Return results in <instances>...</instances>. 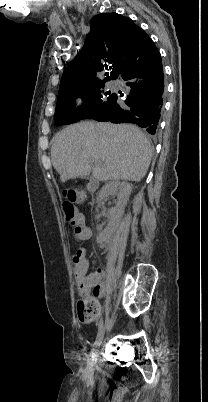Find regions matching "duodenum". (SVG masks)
Segmentation results:
<instances>
[{
    "instance_id": "410a0bca",
    "label": "duodenum",
    "mask_w": 208,
    "mask_h": 402,
    "mask_svg": "<svg viewBox=\"0 0 208 402\" xmlns=\"http://www.w3.org/2000/svg\"><path fill=\"white\" fill-rule=\"evenodd\" d=\"M89 183H90L91 187L94 185V182L92 180H90Z\"/></svg>"
}]
</instances>
